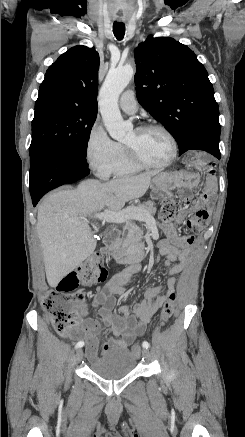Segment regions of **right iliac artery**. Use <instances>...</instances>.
<instances>
[{
	"label": "right iliac artery",
	"mask_w": 245,
	"mask_h": 437,
	"mask_svg": "<svg viewBox=\"0 0 245 437\" xmlns=\"http://www.w3.org/2000/svg\"><path fill=\"white\" fill-rule=\"evenodd\" d=\"M84 346V342L83 341H79L77 344H76V348H81V347H83Z\"/></svg>",
	"instance_id": "82829eb1"
}]
</instances>
